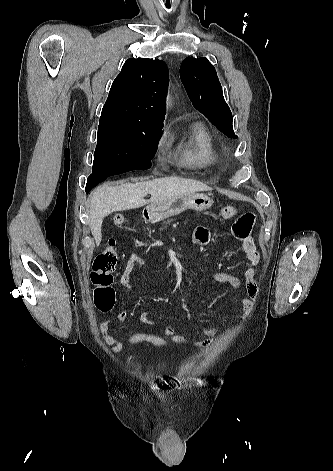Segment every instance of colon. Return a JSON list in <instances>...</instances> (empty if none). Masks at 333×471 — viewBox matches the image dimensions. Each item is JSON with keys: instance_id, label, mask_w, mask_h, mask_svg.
<instances>
[{"instance_id": "obj_1", "label": "colon", "mask_w": 333, "mask_h": 471, "mask_svg": "<svg viewBox=\"0 0 333 471\" xmlns=\"http://www.w3.org/2000/svg\"><path fill=\"white\" fill-rule=\"evenodd\" d=\"M236 213L237 209L234 206H225L220 210V215L225 219L234 217ZM113 222L116 226H122L125 223V218L122 215H116ZM117 260L116 242L114 239H110L107 246L93 262L91 281L94 285V302L101 311H109L114 305L115 292L112 285ZM128 342L132 346L150 345L155 347H165L170 343L164 335L150 332H135L129 336Z\"/></svg>"}]
</instances>
